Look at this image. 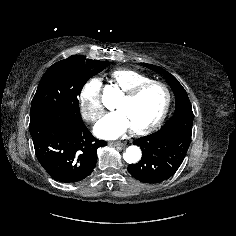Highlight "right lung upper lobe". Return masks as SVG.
<instances>
[{
  "label": "right lung upper lobe",
  "instance_id": "1",
  "mask_svg": "<svg viewBox=\"0 0 236 236\" xmlns=\"http://www.w3.org/2000/svg\"><path fill=\"white\" fill-rule=\"evenodd\" d=\"M67 59H69V60H79V61H85V62H93V61H95V60H91V59L85 60V57L81 56V55H73V56H70Z\"/></svg>",
  "mask_w": 236,
  "mask_h": 236
}]
</instances>
